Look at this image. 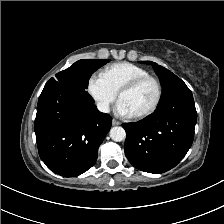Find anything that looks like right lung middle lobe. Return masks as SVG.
Returning <instances> with one entry per match:
<instances>
[{"mask_svg":"<svg viewBox=\"0 0 224 224\" xmlns=\"http://www.w3.org/2000/svg\"><path fill=\"white\" fill-rule=\"evenodd\" d=\"M110 60L82 59L56 74L47 84L65 85L86 92L91 75ZM87 93V92H86Z\"/></svg>","mask_w":224,"mask_h":224,"instance_id":"1","label":"right lung middle lobe"}]
</instances>
